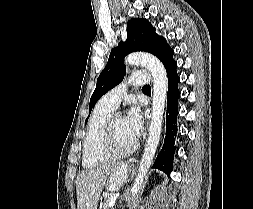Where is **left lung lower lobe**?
<instances>
[{
    "mask_svg": "<svg viewBox=\"0 0 253 209\" xmlns=\"http://www.w3.org/2000/svg\"><path fill=\"white\" fill-rule=\"evenodd\" d=\"M177 63L173 62L166 68L168 75L167 112H166V136L162 150L158 154L153 167L170 175L173 170V158L176 147L178 99L180 92L178 83L180 78L176 71Z\"/></svg>",
    "mask_w": 253,
    "mask_h": 209,
    "instance_id": "left-lung-lower-lobe-1",
    "label": "left lung lower lobe"
}]
</instances>
